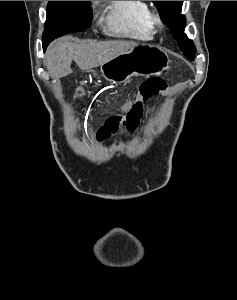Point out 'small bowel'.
Instances as JSON below:
<instances>
[{
	"label": "small bowel",
	"mask_w": 237,
	"mask_h": 300,
	"mask_svg": "<svg viewBox=\"0 0 237 300\" xmlns=\"http://www.w3.org/2000/svg\"><path fill=\"white\" fill-rule=\"evenodd\" d=\"M139 98L137 97L136 100H138ZM132 106V102L127 103L124 107L123 110H128L130 107Z\"/></svg>",
	"instance_id": "1"
}]
</instances>
